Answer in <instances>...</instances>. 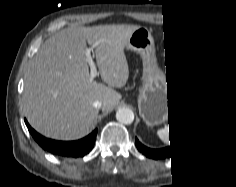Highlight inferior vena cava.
<instances>
[{"instance_id":"inferior-vena-cava-1","label":"inferior vena cava","mask_w":236,"mask_h":187,"mask_svg":"<svg viewBox=\"0 0 236 187\" xmlns=\"http://www.w3.org/2000/svg\"><path fill=\"white\" fill-rule=\"evenodd\" d=\"M93 106L95 107V108H101V106H102V103L100 102V101H95L94 103H93Z\"/></svg>"}]
</instances>
